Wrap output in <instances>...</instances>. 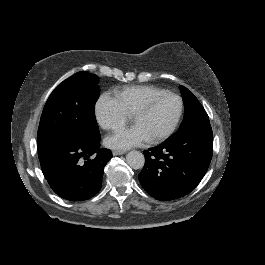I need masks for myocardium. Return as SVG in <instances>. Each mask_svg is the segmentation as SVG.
<instances>
[{
    "instance_id": "1",
    "label": "myocardium",
    "mask_w": 265,
    "mask_h": 265,
    "mask_svg": "<svg viewBox=\"0 0 265 265\" xmlns=\"http://www.w3.org/2000/svg\"><path fill=\"white\" fill-rule=\"evenodd\" d=\"M163 95H165V96H171V97H174L175 99H177L178 104H179L178 111H177V114H176L175 119L173 120V122L168 127H166L163 131H161L156 136H154V137H152V138L149 139V142L151 144L158 143L161 140H163L166 137H168L175 130V128L177 127V125L179 124V122L181 120V117H182V114H183L184 102H183L182 97L179 94L174 93V92H172L170 90H158V91L152 93L151 95H149L139 105V107L135 111L134 115H137V114H140V113L146 111L148 109V107L152 104V102L155 99H157L159 96H163Z\"/></svg>"
}]
</instances>
